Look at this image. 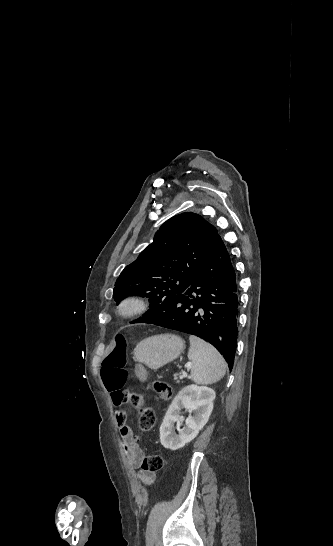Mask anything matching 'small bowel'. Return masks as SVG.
I'll list each match as a JSON object with an SVG mask.
<instances>
[{
    "instance_id": "obj_1",
    "label": "small bowel",
    "mask_w": 333,
    "mask_h": 546,
    "mask_svg": "<svg viewBox=\"0 0 333 546\" xmlns=\"http://www.w3.org/2000/svg\"><path fill=\"white\" fill-rule=\"evenodd\" d=\"M134 367L135 371L132 373L134 376H137L140 380L143 379L144 381H147L149 379V376L147 374L150 372V369L146 366V363L144 361H137ZM123 392V390L109 392L111 401L115 406H120L123 403ZM126 416L127 414L125 410L118 409L116 411V421L119 425V433L122 439L123 450L126 460L131 467L139 468L142 466L144 452L138 444L133 431L129 427V424L126 423ZM138 478L144 484L151 485L154 482L155 473L141 470L138 473Z\"/></svg>"
}]
</instances>
